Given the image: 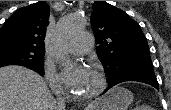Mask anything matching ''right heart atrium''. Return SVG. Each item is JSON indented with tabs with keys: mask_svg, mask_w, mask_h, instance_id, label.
Instances as JSON below:
<instances>
[{
	"mask_svg": "<svg viewBox=\"0 0 171 110\" xmlns=\"http://www.w3.org/2000/svg\"><path fill=\"white\" fill-rule=\"evenodd\" d=\"M44 75L47 83L55 94L60 95L64 93L60 76L50 62H45Z\"/></svg>",
	"mask_w": 171,
	"mask_h": 110,
	"instance_id": "1",
	"label": "right heart atrium"
}]
</instances>
